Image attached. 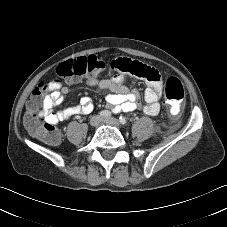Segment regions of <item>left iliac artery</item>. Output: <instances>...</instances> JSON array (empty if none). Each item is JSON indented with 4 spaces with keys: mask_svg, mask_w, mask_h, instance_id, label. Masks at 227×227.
Masks as SVG:
<instances>
[{
    "mask_svg": "<svg viewBox=\"0 0 227 227\" xmlns=\"http://www.w3.org/2000/svg\"><path fill=\"white\" fill-rule=\"evenodd\" d=\"M119 121H120L121 124H126V123H127V118L124 117V116H121V117L119 118Z\"/></svg>",
    "mask_w": 227,
    "mask_h": 227,
    "instance_id": "obj_1",
    "label": "left iliac artery"
}]
</instances>
